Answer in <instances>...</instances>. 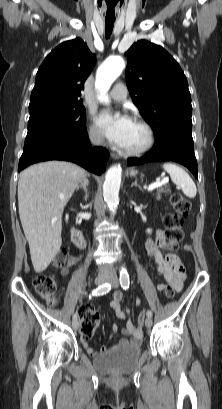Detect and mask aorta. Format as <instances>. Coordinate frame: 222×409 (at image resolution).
I'll list each match as a JSON object with an SVG mask.
<instances>
[{"instance_id": "aorta-1", "label": "aorta", "mask_w": 222, "mask_h": 409, "mask_svg": "<svg viewBox=\"0 0 222 409\" xmlns=\"http://www.w3.org/2000/svg\"><path fill=\"white\" fill-rule=\"evenodd\" d=\"M125 67L124 60L120 57L107 59L97 70L95 87L99 91L98 100L107 102V92L112 83L122 73ZM122 169L120 165L112 166L106 173L103 184V197L107 205L111 208L118 204V194L121 184Z\"/></svg>"}]
</instances>
